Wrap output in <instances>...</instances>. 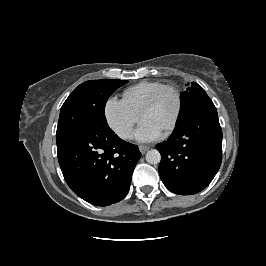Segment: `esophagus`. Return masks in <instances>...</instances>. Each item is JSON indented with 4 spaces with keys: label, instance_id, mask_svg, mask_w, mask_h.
<instances>
[{
    "label": "esophagus",
    "instance_id": "34e87169",
    "mask_svg": "<svg viewBox=\"0 0 266 266\" xmlns=\"http://www.w3.org/2000/svg\"><path fill=\"white\" fill-rule=\"evenodd\" d=\"M148 149H149V147L146 146V145H140V146H139V150H140V152H141L142 154H145L146 151H147Z\"/></svg>",
    "mask_w": 266,
    "mask_h": 266
}]
</instances>
